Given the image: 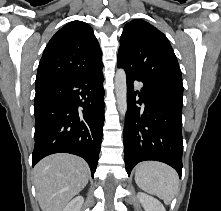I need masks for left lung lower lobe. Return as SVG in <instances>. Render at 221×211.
Masks as SVG:
<instances>
[{"mask_svg": "<svg viewBox=\"0 0 221 211\" xmlns=\"http://www.w3.org/2000/svg\"><path fill=\"white\" fill-rule=\"evenodd\" d=\"M117 66L124 68L120 63ZM125 71L128 107L123 138L128 175L138 162L156 160L172 166L181 177L183 90L150 83L128 69ZM134 80L143 83L141 92L134 91ZM142 103L144 109L136 105Z\"/></svg>", "mask_w": 221, "mask_h": 211, "instance_id": "left-lung-lower-lobe-1", "label": "left lung lower lobe"}]
</instances>
